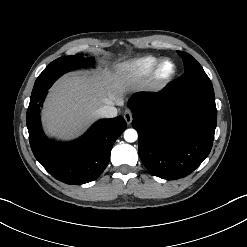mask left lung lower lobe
<instances>
[{"mask_svg": "<svg viewBox=\"0 0 247 247\" xmlns=\"http://www.w3.org/2000/svg\"><path fill=\"white\" fill-rule=\"evenodd\" d=\"M128 105L140 159L155 176L186 177L209 155L217 122L213 88L171 84L156 95L135 94Z\"/></svg>", "mask_w": 247, "mask_h": 247, "instance_id": "obj_1", "label": "left lung lower lobe"}]
</instances>
